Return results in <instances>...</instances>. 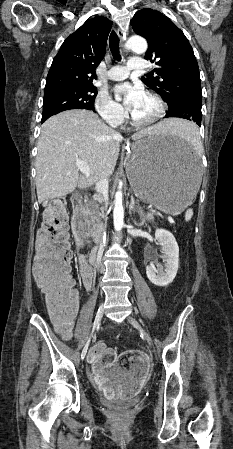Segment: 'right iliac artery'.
Here are the masks:
<instances>
[{"label":"right iliac artery","instance_id":"1","mask_svg":"<svg viewBox=\"0 0 233 449\" xmlns=\"http://www.w3.org/2000/svg\"><path fill=\"white\" fill-rule=\"evenodd\" d=\"M98 326H99V324H97V325L94 324V325H93V331H92V332H94L95 328H98ZM89 342H90V339L88 340L86 346L84 347V349H83V351H82V354H81V358H82V359H84V357H85V355H86V353H87V349H88Z\"/></svg>","mask_w":233,"mask_h":449}]
</instances>
